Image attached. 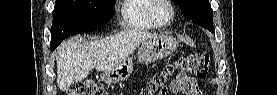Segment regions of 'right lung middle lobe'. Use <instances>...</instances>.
I'll return each instance as SVG.
<instances>
[{
	"instance_id": "right-lung-middle-lobe-1",
	"label": "right lung middle lobe",
	"mask_w": 277,
	"mask_h": 95,
	"mask_svg": "<svg viewBox=\"0 0 277 95\" xmlns=\"http://www.w3.org/2000/svg\"><path fill=\"white\" fill-rule=\"evenodd\" d=\"M116 0H56L50 45L70 35L96 30L114 15Z\"/></svg>"
}]
</instances>
